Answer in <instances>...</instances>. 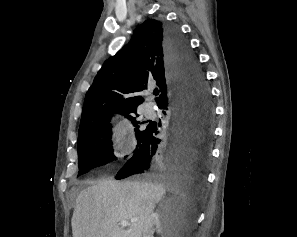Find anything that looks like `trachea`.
I'll use <instances>...</instances> for the list:
<instances>
[{
    "instance_id": "trachea-1",
    "label": "trachea",
    "mask_w": 297,
    "mask_h": 237,
    "mask_svg": "<svg viewBox=\"0 0 297 237\" xmlns=\"http://www.w3.org/2000/svg\"><path fill=\"white\" fill-rule=\"evenodd\" d=\"M159 91L157 89L154 90V95H158Z\"/></svg>"
}]
</instances>
